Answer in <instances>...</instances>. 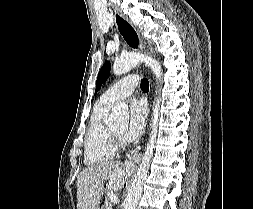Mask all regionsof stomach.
Segmentation results:
<instances>
[{
    "instance_id": "0dacf381",
    "label": "stomach",
    "mask_w": 253,
    "mask_h": 209,
    "mask_svg": "<svg viewBox=\"0 0 253 209\" xmlns=\"http://www.w3.org/2000/svg\"><path fill=\"white\" fill-rule=\"evenodd\" d=\"M100 190H109L112 187V182L110 181H101ZM99 209H108V206H99Z\"/></svg>"
}]
</instances>
